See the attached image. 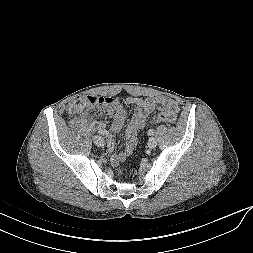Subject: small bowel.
Returning a JSON list of instances; mask_svg holds the SVG:
<instances>
[{
    "label": "small bowel",
    "mask_w": 253,
    "mask_h": 253,
    "mask_svg": "<svg viewBox=\"0 0 253 253\" xmlns=\"http://www.w3.org/2000/svg\"><path fill=\"white\" fill-rule=\"evenodd\" d=\"M126 103L135 108V114L125 129L126 143L124 149L120 153L111 157L110 161L113 166L119 165L133 152L137 142V134L139 130L146 126L147 118L154 110L159 109L161 111L157 117L169 113L176 115L180 111L178 103L174 99L166 96H151L146 98L129 97L126 99ZM157 117H154L153 119ZM125 119V109L117 111L114 115V119L109 130L107 142L108 151H112L114 148V134L123 127Z\"/></svg>",
    "instance_id": "1"
}]
</instances>
